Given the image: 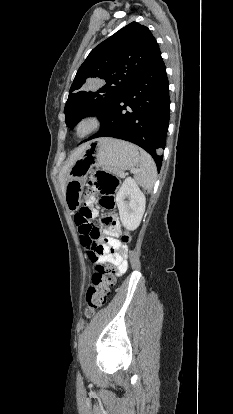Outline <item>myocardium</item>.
<instances>
[{
  "label": "myocardium",
  "instance_id": "1",
  "mask_svg": "<svg viewBox=\"0 0 233 414\" xmlns=\"http://www.w3.org/2000/svg\"><path fill=\"white\" fill-rule=\"evenodd\" d=\"M104 124V120L98 113H86L82 115L74 126V136L77 139H86L97 133Z\"/></svg>",
  "mask_w": 233,
  "mask_h": 414
}]
</instances>
